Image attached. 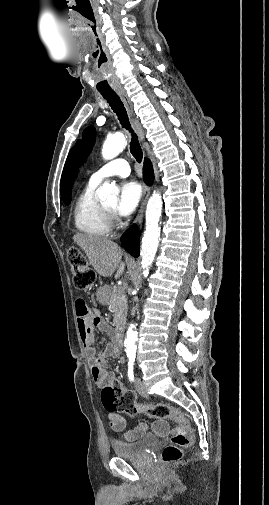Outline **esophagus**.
<instances>
[{
    "label": "esophagus",
    "mask_w": 269,
    "mask_h": 505,
    "mask_svg": "<svg viewBox=\"0 0 269 505\" xmlns=\"http://www.w3.org/2000/svg\"><path fill=\"white\" fill-rule=\"evenodd\" d=\"M116 92L119 95V97L121 98V100L126 108L129 119H130L137 135L139 136V139L142 140L143 139V130H142V127L139 123V120L135 116L133 104H132L129 96L127 95V92L124 89H117ZM149 194H150V187L148 185H146L143 190L140 209H139V212H138L137 217L135 219V224L138 228L141 227V224L143 221L144 211H145V207H146V203H147Z\"/></svg>",
    "instance_id": "esophagus-1"
}]
</instances>
